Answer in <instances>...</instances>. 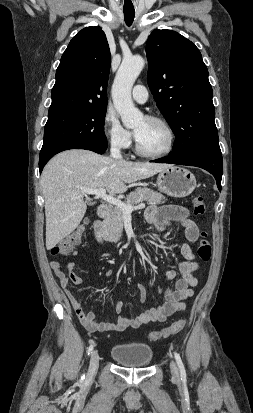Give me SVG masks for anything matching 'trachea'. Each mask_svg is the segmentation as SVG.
Masks as SVG:
<instances>
[{"mask_svg": "<svg viewBox=\"0 0 253 413\" xmlns=\"http://www.w3.org/2000/svg\"><path fill=\"white\" fill-rule=\"evenodd\" d=\"M135 17L134 10H124V19L127 26H131Z\"/></svg>", "mask_w": 253, "mask_h": 413, "instance_id": "obj_1", "label": "trachea"}]
</instances>
